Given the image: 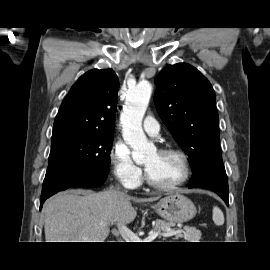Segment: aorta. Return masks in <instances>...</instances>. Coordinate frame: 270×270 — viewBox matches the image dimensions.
Instances as JSON below:
<instances>
[{"mask_svg":"<svg viewBox=\"0 0 270 270\" xmlns=\"http://www.w3.org/2000/svg\"><path fill=\"white\" fill-rule=\"evenodd\" d=\"M152 94V85L149 82H140L127 95L120 120L124 141L132 148V157L135 161H142L154 153L156 148L148 142L142 129V120Z\"/></svg>","mask_w":270,"mask_h":270,"instance_id":"aorta-1","label":"aorta"}]
</instances>
